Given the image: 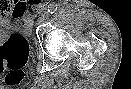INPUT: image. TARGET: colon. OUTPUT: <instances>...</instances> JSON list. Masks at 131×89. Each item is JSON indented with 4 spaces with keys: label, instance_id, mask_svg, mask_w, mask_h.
<instances>
[{
    "label": "colon",
    "instance_id": "5ec220e1",
    "mask_svg": "<svg viewBox=\"0 0 131 89\" xmlns=\"http://www.w3.org/2000/svg\"><path fill=\"white\" fill-rule=\"evenodd\" d=\"M7 7L9 12L10 3ZM29 49L28 40L18 33L8 35L0 45V76L7 85L15 86L22 81Z\"/></svg>",
    "mask_w": 131,
    "mask_h": 89
}]
</instances>
